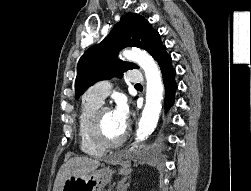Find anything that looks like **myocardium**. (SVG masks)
I'll list each match as a JSON object with an SVG mask.
<instances>
[{"mask_svg":"<svg viewBox=\"0 0 251 191\" xmlns=\"http://www.w3.org/2000/svg\"><path fill=\"white\" fill-rule=\"evenodd\" d=\"M110 111L108 106L100 105L93 113L90 122V135L94 142L104 149H114L119 147L127 138V132L123 131L120 137L111 140L108 139L102 127V115L104 112Z\"/></svg>","mask_w":251,"mask_h":191,"instance_id":"myocardium-1","label":"myocardium"}]
</instances>
